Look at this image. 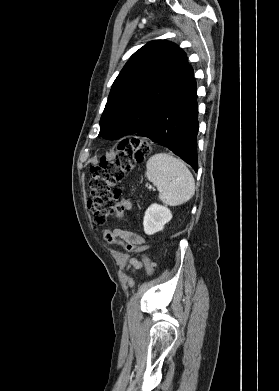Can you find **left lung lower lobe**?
Masks as SVG:
<instances>
[{
    "label": "left lung lower lobe",
    "instance_id": "obj_1",
    "mask_svg": "<svg viewBox=\"0 0 279 391\" xmlns=\"http://www.w3.org/2000/svg\"><path fill=\"white\" fill-rule=\"evenodd\" d=\"M197 116V88L193 78L188 87L137 135L166 146L197 169Z\"/></svg>",
    "mask_w": 279,
    "mask_h": 391
}]
</instances>
